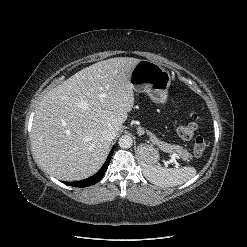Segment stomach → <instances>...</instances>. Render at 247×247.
<instances>
[{"mask_svg":"<svg viewBox=\"0 0 247 247\" xmlns=\"http://www.w3.org/2000/svg\"><path fill=\"white\" fill-rule=\"evenodd\" d=\"M130 83L133 90L146 93L153 102L158 104L167 102L171 76L160 64L140 60L131 72ZM137 153L146 164L155 165L159 160L158 151L149 145H140Z\"/></svg>","mask_w":247,"mask_h":247,"instance_id":"stomach-1","label":"stomach"}]
</instances>
